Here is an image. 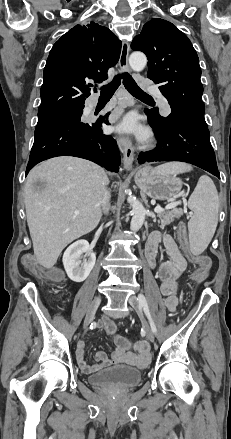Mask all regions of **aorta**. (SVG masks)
Returning a JSON list of instances; mask_svg holds the SVG:
<instances>
[{"instance_id": "aorta-1", "label": "aorta", "mask_w": 231, "mask_h": 439, "mask_svg": "<svg viewBox=\"0 0 231 439\" xmlns=\"http://www.w3.org/2000/svg\"><path fill=\"white\" fill-rule=\"evenodd\" d=\"M146 64H147V57L142 52L139 51L133 52L129 57V65L131 69L135 72L142 71L145 68ZM127 201L132 207V213H133L130 229L132 231H138L142 227L145 221L146 209L144 208L142 203L139 202L133 196H129Z\"/></svg>"}]
</instances>
